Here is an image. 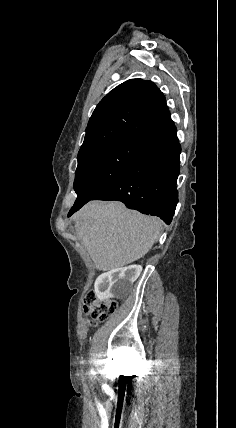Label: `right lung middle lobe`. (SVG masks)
I'll return each mask as SVG.
<instances>
[{
    "instance_id": "1",
    "label": "right lung middle lobe",
    "mask_w": 236,
    "mask_h": 428,
    "mask_svg": "<svg viewBox=\"0 0 236 428\" xmlns=\"http://www.w3.org/2000/svg\"><path fill=\"white\" fill-rule=\"evenodd\" d=\"M140 140H129L98 151L78 161L73 208L82 206L111 185L139 151Z\"/></svg>"
}]
</instances>
